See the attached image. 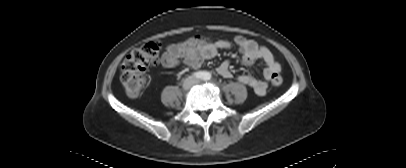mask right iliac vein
<instances>
[{"label": "right iliac vein", "instance_id": "1", "mask_svg": "<svg viewBox=\"0 0 406 168\" xmlns=\"http://www.w3.org/2000/svg\"><path fill=\"white\" fill-rule=\"evenodd\" d=\"M192 84H193L192 78H188V79H186V80L183 82V88H184L185 90H188V89L191 88Z\"/></svg>", "mask_w": 406, "mask_h": 168}]
</instances>
